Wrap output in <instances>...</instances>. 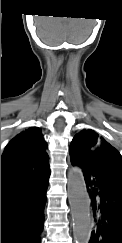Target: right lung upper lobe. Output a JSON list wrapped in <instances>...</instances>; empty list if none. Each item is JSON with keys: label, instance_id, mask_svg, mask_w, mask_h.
<instances>
[{"label": "right lung upper lobe", "instance_id": "right-lung-upper-lobe-1", "mask_svg": "<svg viewBox=\"0 0 122 243\" xmlns=\"http://www.w3.org/2000/svg\"><path fill=\"white\" fill-rule=\"evenodd\" d=\"M39 128H29L14 137L1 157V188L48 171L49 157Z\"/></svg>", "mask_w": 122, "mask_h": 243}]
</instances>
